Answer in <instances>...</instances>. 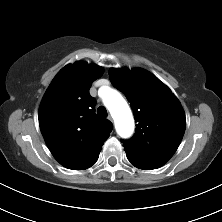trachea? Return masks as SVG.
<instances>
[{
    "label": "trachea",
    "instance_id": "3493384b",
    "mask_svg": "<svg viewBox=\"0 0 222 222\" xmlns=\"http://www.w3.org/2000/svg\"><path fill=\"white\" fill-rule=\"evenodd\" d=\"M97 113H98L99 116L104 117V118L107 117V115H108L106 108L103 107V106H100L97 109Z\"/></svg>",
    "mask_w": 222,
    "mask_h": 222
}]
</instances>
